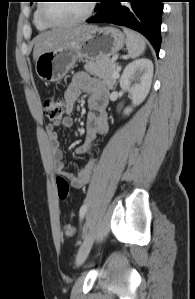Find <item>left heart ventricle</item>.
Masks as SVG:
<instances>
[{
	"mask_svg": "<svg viewBox=\"0 0 195 299\" xmlns=\"http://www.w3.org/2000/svg\"><path fill=\"white\" fill-rule=\"evenodd\" d=\"M88 1H57L46 5V14L55 21H68L82 16L87 8Z\"/></svg>",
	"mask_w": 195,
	"mask_h": 299,
	"instance_id": "obj_1",
	"label": "left heart ventricle"
}]
</instances>
